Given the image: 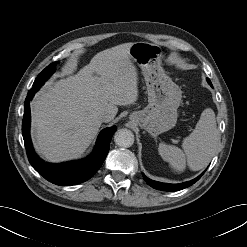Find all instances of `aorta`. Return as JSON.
Here are the masks:
<instances>
[{"label": "aorta", "instance_id": "762f6f07", "mask_svg": "<svg viewBox=\"0 0 247 247\" xmlns=\"http://www.w3.org/2000/svg\"><path fill=\"white\" fill-rule=\"evenodd\" d=\"M114 140L119 147L129 148L134 143V134L129 129H120L115 133Z\"/></svg>", "mask_w": 247, "mask_h": 247}]
</instances>
